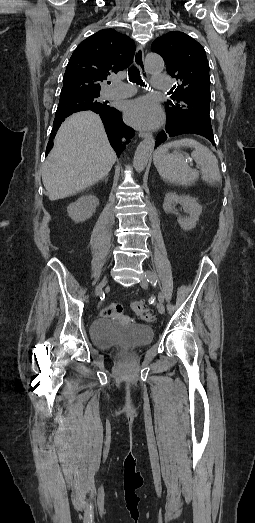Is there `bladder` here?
Returning <instances> with one entry per match:
<instances>
[{
	"instance_id": "31cf9c89",
	"label": "bladder",
	"mask_w": 255,
	"mask_h": 523,
	"mask_svg": "<svg viewBox=\"0 0 255 523\" xmlns=\"http://www.w3.org/2000/svg\"><path fill=\"white\" fill-rule=\"evenodd\" d=\"M153 330L145 324H122L113 319L94 320L91 326V339L98 346H137L151 341Z\"/></svg>"
}]
</instances>
